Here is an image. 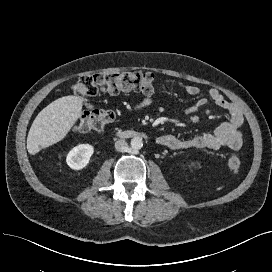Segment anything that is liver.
<instances>
[{"label": "liver", "instance_id": "obj_1", "mask_svg": "<svg viewBox=\"0 0 272 272\" xmlns=\"http://www.w3.org/2000/svg\"><path fill=\"white\" fill-rule=\"evenodd\" d=\"M83 100L68 95L56 99L35 118L27 137V150L34 155L66 137L81 115Z\"/></svg>", "mask_w": 272, "mask_h": 272}]
</instances>
